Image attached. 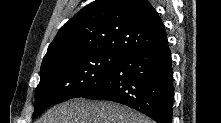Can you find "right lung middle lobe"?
I'll return each mask as SVG.
<instances>
[{
	"mask_svg": "<svg viewBox=\"0 0 221 123\" xmlns=\"http://www.w3.org/2000/svg\"><path fill=\"white\" fill-rule=\"evenodd\" d=\"M127 54L108 49L69 54L41 65L33 118L48 106L81 97L98 87Z\"/></svg>",
	"mask_w": 221,
	"mask_h": 123,
	"instance_id": "1",
	"label": "right lung middle lobe"
}]
</instances>
